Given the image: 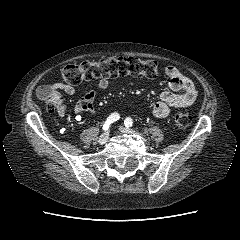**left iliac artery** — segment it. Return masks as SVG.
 I'll use <instances>...</instances> for the list:
<instances>
[{"mask_svg":"<svg viewBox=\"0 0 240 240\" xmlns=\"http://www.w3.org/2000/svg\"><path fill=\"white\" fill-rule=\"evenodd\" d=\"M125 127L129 128L133 125V119L131 117H127L124 121Z\"/></svg>","mask_w":240,"mask_h":240,"instance_id":"left-iliac-artery-1","label":"left iliac artery"}]
</instances>
